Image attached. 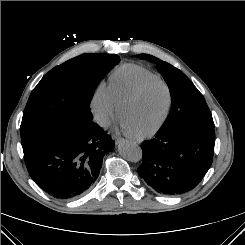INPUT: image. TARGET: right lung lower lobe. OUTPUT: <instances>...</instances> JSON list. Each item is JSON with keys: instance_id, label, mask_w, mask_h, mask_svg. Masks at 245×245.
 <instances>
[{"instance_id": "1", "label": "right lung lower lobe", "mask_w": 245, "mask_h": 245, "mask_svg": "<svg viewBox=\"0 0 245 245\" xmlns=\"http://www.w3.org/2000/svg\"><path fill=\"white\" fill-rule=\"evenodd\" d=\"M115 143L99 125L59 131L23 148L27 170L33 181L55 198L72 199L94 184L103 157Z\"/></svg>"}]
</instances>
